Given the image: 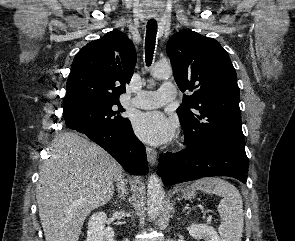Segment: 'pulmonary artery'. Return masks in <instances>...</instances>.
Listing matches in <instances>:
<instances>
[{
    "mask_svg": "<svg viewBox=\"0 0 295 241\" xmlns=\"http://www.w3.org/2000/svg\"><path fill=\"white\" fill-rule=\"evenodd\" d=\"M177 94L174 84L163 83L156 91H139L131 100V104L141 109L158 108L175 99Z\"/></svg>",
    "mask_w": 295,
    "mask_h": 241,
    "instance_id": "pulmonary-artery-1",
    "label": "pulmonary artery"
}]
</instances>
